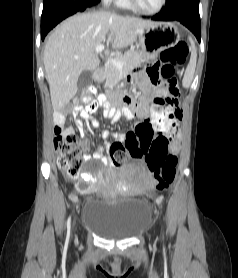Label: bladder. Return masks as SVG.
Wrapping results in <instances>:
<instances>
[{"instance_id": "obj_1", "label": "bladder", "mask_w": 238, "mask_h": 278, "mask_svg": "<svg viewBox=\"0 0 238 278\" xmlns=\"http://www.w3.org/2000/svg\"><path fill=\"white\" fill-rule=\"evenodd\" d=\"M142 198L118 197L112 200L92 198L84 202L82 226L107 240H126L144 232L152 220V208Z\"/></svg>"}]
</instances>
